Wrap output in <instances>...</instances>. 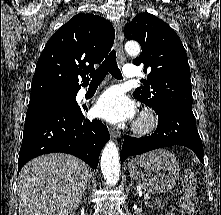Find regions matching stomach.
<instances>
[{"mask_svg": "<svg viewBox=\"0 0 221 215\" xmlns=\"http://www.w3.org/2000/svg\"><path fill=\"white\" fill-rule=\"evenodd\" d=\"M129 173L144 190L164 193L171 190L179 179V163L166 149H157L132 159Z\"/></svg>", "mask_w": 221, "mask_h": 215, "instance_id": "obj_1", "label": "stomach"}]
</instances>
